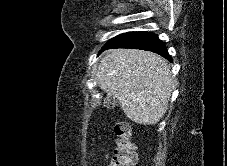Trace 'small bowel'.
Masks as SVG:
<instances>
[{"instance_id":"small-bowel-1","label":"small bowel","mask_w":227,"mask_h":166,"mask_svg":"<svg viewBox=\"0 0 227 166\" xmlns=\"http://www.w3.org/2000/svg\"><path fill=\"white\" fill-rule=\"evenodd\" d=\"M103 158L107 159L108 158V155L107 154H104L103 155Z\"/></svg>"}]
</instances>
